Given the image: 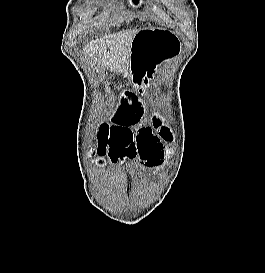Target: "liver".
<instances>
[{
  "label": "liver",
  "instance_id": "6515ba94",
  "mask_svg": "<svg viewBox=\"0 0 265 273\" xmlns=\"http://www.w3.org/2000/svg\"><path fill=\"white\" fill-rule=\"evenodd\" d=\"M136 30H127L105 36L85 47L89 57L99 58L103 67L128 75L130 69L131 44Z\"/></svg>",
  "mask_w": 265,
  "mask_h": 273
}]
</instances>
